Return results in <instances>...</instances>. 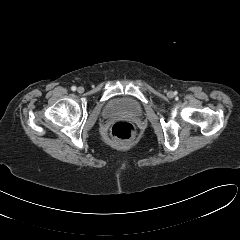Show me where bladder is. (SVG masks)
I'll use <instances>...</instances> for the list:
<instances>
[{
	"label": "bladder",
	"mask_w": 240,
	"mask_h": 240,
	"mask_svg": "<svg viewBox=\"0 0 240 240\" xmlns=\"http://www.w3.org/2000/svg\"><path fill=\"white\" fill-rule=\"evenodd\" d=\"M142 114V107L139 102L131 98L111 99L103 110L105 117L114 116H139Z\"/></svg>",
	"instance_id": "31cf9c89"
}]
</instances>
